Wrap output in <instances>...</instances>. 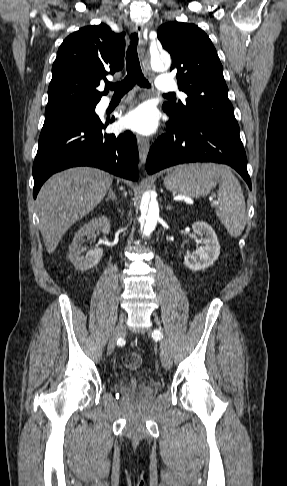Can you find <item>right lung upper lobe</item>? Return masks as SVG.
Instances as JSON below:
<instances>
[{
    "label": "right lung upper lobe",
    "mask_w": 287,
    "mask_h": 486,
    "mask_svg": "<svg viewBox=\"0 0 287 486\" xmlns=\"http://www.w3.org/2000/svg\"><path fill=\"white\" fill-rule=\"evenodd\" d=\"M125 33H114L104 23L69 35L58 49L52 66L46 108L82 102H99L108 90L96 87L123 68Z\"/></svg>",
    "instance_id": "obj_1"
}]
</instances>
